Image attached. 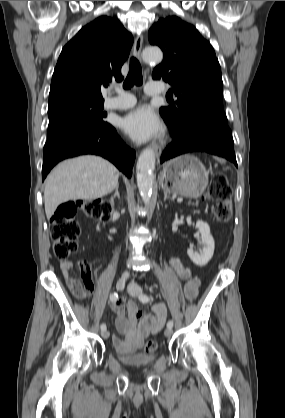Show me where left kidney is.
<instances>
[{
	"mask_svg": "<svg viewBox=\"0 0 285 418\" xmlns=\"http://www.w3.org/2000/svg\"><path fill=\"white\" fill-rule=\"evenodd\" d=\"M196 227L201 234V242L203 247L200 252H197L193 249V247H190L187 250V254L194 264L202 267L211 260L214 254L215 242L210 233V227L208 223L202 220H198L196 222Z\"/></svg>",
	"mask_w": 285,
	"mask_h": 418,
	"instance_id": "obj_1",
	"label": "left kidney"
}]
</instances>
